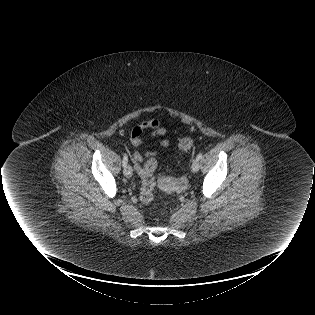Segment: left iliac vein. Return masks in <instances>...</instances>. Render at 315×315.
Instances as JSON below:
<instances>
[{
	"label": "left iliac vein",
	"mask_w": 315,
	"mask_h": 315,
	"mask_svg": "<svg viewBox=\"0 0 315 315\" xmlns=\"http://www.w3.org/2000/svg\"><path fill=\"white\" fill-rule=\"evenodd\" d=\"M191 169H192L193 172H197L200 169V162H199V160H197V159L193 160Z\"/></svg>",
	"instance_id": "1"
}]
</instances>
